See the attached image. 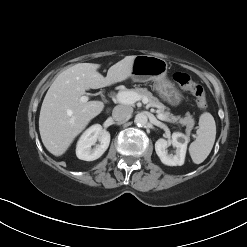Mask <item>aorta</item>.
<instances>
[{
    "instance_id": "1",
    "label": "aorta",
    "mask_w": 247,
    "mask_h": 247,
    "mask_svg": "<svg viewBox=\"0 0 247 247\" xmlns=\"http://www.w3.org/2000/svg\"><path fill=\"white\" fill-rule=\"evenodd\" d=\"M134 122L138 125V126H145L148 122V118L144 113H138L135 116Z\"/></svg>"
}]
</instances>
